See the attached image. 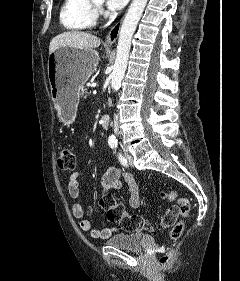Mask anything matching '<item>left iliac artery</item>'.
Instances as JSON below:
<instances>
[{"mask_svg":"<svg viewBox=\"0 0 240 281\" xmlns=\"http://www.w3.org/2000/svg\"><path fill=\"white\" fill-rule=\"evenodd\" d=\"M119 161L121 162L122 165L128 166L127 164V159H125L120 153L118 155Z\"/></svg>","mask_w":240,"mask_h":281,"instance_id":"obj_1","label":"left iliac artery"}]
</instances>
